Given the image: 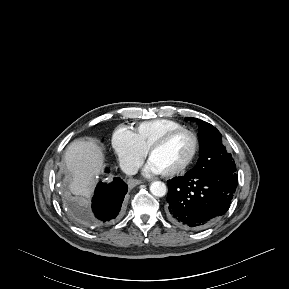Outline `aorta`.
I'll return each instance as SVG.
<instances>
[{
  "label": "aorta",
  "instance_id": "obj_1",
  "mask_svg": "<svg viewBox=\"0 0 289 289\" xmlns=\"http://www.w3.org/2000/svg\"><path fill=\"white\" fill-rule=\"evenodd\" d=\"M166 191V185L161 181H155L150 185V192L156 197H163Z\"/></svg>",
  "mask_w": 289,
  "mask_h": 289
}]
</instances>
